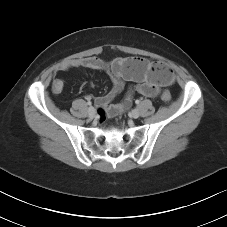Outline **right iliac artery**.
Returning <instances> with one entry per match:
<instances>
[{"instance_id": "obj_1", "label": "right iliac artery", "mask_w": 227, "mask_h": 227, "mask_svg": "<svg viewBox=\"0 0 227 227\" xmlns=\"http://www.w3.org/2000/svg\"><path fill=\"white\" fill-rule=\"evenodd\" d=\"M87 104H88V105H91V102L89 101ZM89 108H92V106H90Z\"/></svg>"}]
</instances>
